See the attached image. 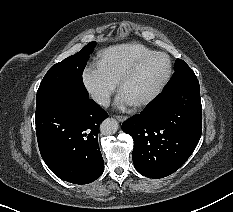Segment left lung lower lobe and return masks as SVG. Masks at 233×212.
Listing matches in <instances>:
<instances>
[{
	"mask_svg": "<svg viewBox=\"0 0 233 212\" xmlns=\"http://www.w3.org/2000/svg\"><path fill=\"white\" fill-rule=\"evenodd\" d=\"M134 140L136 170L162 178L178 170L196 148L202 132L200 87L196 77L178 81L140 114L122 124Z\"/></svg>",
	"mask_w": 233,
	"mask_h": 212,
	"instance_id": "left-lung-lower-lobe-1",
	"label": "left lung lower lobe"
}]
</instances>
